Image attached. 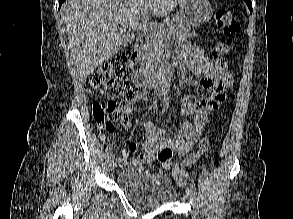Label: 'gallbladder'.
<instances>
[{
	"label": "gallbladder",
	"mask_w": 293,
	"mask_h": 219,
	"mask_svg": "<svg viewBox=\"0 0 293 219\" xmlns=\"http://www.w3.org/2000/svg\"><path fill=\"white\" fill-rule=\"evenodd\" d=\"M134 39V35L129 33L124 37V42L122 47L128 46Z\"/></svg>",
	"instance_id": "1"
}]
</instances>
